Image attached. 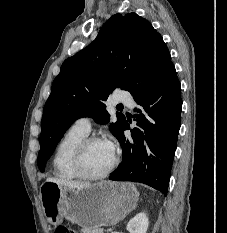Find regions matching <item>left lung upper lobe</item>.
<instances>
[{
	"label": "left lung upper lobe",
	"mask_w": 227,
	"mask_h": 233,
	"mask_svg": "<svg viewBox=\"0 0 227 233\" xmlns=\"http://www.w3.org/2000/svg\"><path fill=\"white\" fill-rule=\"evenodd\" d=\"M172 65L166 44L149 21L136 13L112 16L90 45L64 61L52 84L41 121L40 171L78 118L110 121L104 102L115 88L139 95ZM117 118L110 124L116 138L126 123L124 115L117 113Z\"/></svg>",
	"instance_id": "5c2ea615"
}]
</instances>
